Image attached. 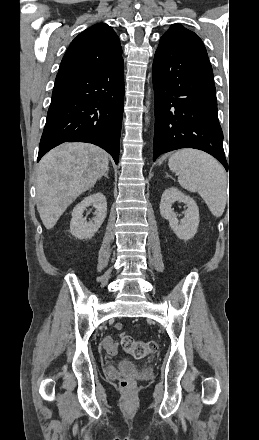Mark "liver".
Returning <instances> with one entry per match:
<instances>
[{
  "label": "liver",
  "mask_w": 259,
  "mask_h": 440,
  "mask_svg": "<svg viewBox=\"0 0 259 440\" xmlns=\"http://www.w3.org/2000/svg\"><path fill=\"white\" fill-rule=\"evenodd\" d=\"M109 170L106 151L89 143H64L40 161L36 180L37 210L46 229L83 192Z\"/></svg>",
  "instance_id": "obj_1"
}]
</instances>
